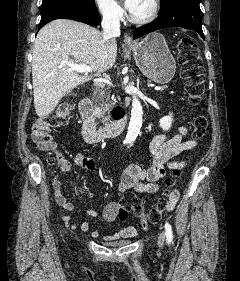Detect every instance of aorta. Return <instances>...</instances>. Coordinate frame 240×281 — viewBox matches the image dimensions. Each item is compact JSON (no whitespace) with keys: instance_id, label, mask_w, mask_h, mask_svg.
Segmentation results:
<instances>
[{"instance_id":"1","label":"aorta","mask_w":240,"mask_h":281,"mask_svg":"<svg viewBox=\"0 0 240 281\" xmlns=\"http://www.w3.org/2000/svg\"><path fill=\"white\" fill-rule=\"evenodd\" d=\"M142 106L139 99L133 96L132 99V110L129 126L126 134V142H134L140 132L142 126Z\"/></svg>"}]
</instances>
